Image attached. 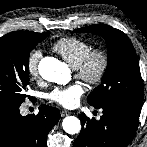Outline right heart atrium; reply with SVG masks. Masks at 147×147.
<instances>
[{"instance_id":"1","label":"right heart atrium","mask_w":147,"mask_h":147,"mask_svg":"<svg viewBox=\"0 0 147 147\" xmlns=\"http://www.w3.org/2000/svg\"><path fill=\"white\" fill-rule=\"evenodd\" d=\"M42 57L41 51L34 49L32 50L27 58V72L31 78H37L39 76V62Z\"/></svg>"}]
</instances>
